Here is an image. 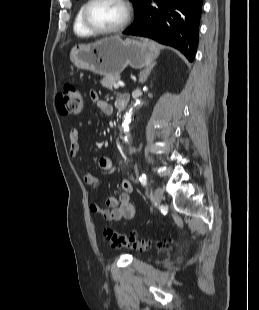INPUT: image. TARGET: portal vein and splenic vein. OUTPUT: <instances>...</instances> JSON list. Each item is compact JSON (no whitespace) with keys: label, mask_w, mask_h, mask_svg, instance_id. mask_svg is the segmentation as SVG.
I'll list each match as a JSON object with an SVG mask.
<instances>
[{"label":"portal vein and splenic vein","mask_w":259,"mask_h":310,"mask_svg":"<svg viewBox=\"0 0 259 310\" xmlns=\"http://www.w3.org/2000/svg\"><path fill=\"white\" fill-rule=\"evenodd\" d=\"M123 85V83H121V82H118V83H115L114 84V88L115 89H118L120 86H122Z\"/></svg>","instance_id":"portal-vein-and-splenic-vein-1"}]
</instances>
